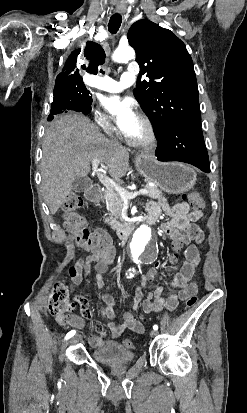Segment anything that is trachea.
<instances>
[{"label":"trachea","mask_w":247,"mask_h":413,"mask_svg":"<svg viewBox=\"0 0 247 413\" xmlns=\"http://www.w3.org/2000/svg\"><path fill=\"white\" fill-rule=\"evenodd\" d=\"M122 22V17L119 13H115L110 18L108 28L111 33H117Z\"/></svg>","instance_id":"obj_1"}]
</instances>
